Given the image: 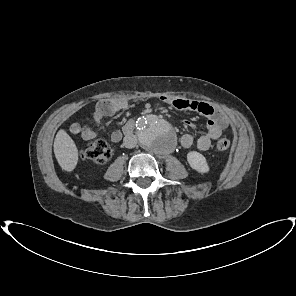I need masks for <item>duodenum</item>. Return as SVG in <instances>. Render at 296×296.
I'll return each instance as SVG.
<instances>
[{
	"mask_svg": "<svg viewBox=\"0 0 296 296\" xmlns=\"http://www.w3.org/2000/svg\"><path fill=\"white\" fill-rule=\"evenodd\" d=\"M134 126H135V119H131L129 120L125 126L123 127V130H124V133L125 134H129L133 131L134 129Z\"/></svg>",
	"mask_w": 296,
	"mask_h": 296,
	"instance_id": "410a0bca",
	"label": "duodenum"
}]
</instances>
